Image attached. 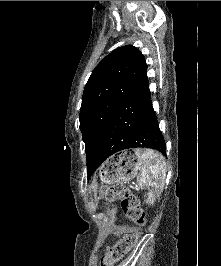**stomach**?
I'll return each instance as SVG.
<instances>
[{
    "label": "stomach",
    "instance_id": "0dacf381",
    "mask_svg": "<svg viewBox=\"0 0 221 266\" xmlns=\"http://www.w3.org/2000/svg\"><path fill=\"white\" fill-rule=\"evenodd\" d=\"M141 168V162L132 151H123L110 157L100 168L102 182L114 185L131 181Z\"/></svg>",
    "mask_w": 221,
    "mask_h": 266
}]
</instances>
